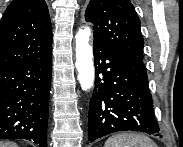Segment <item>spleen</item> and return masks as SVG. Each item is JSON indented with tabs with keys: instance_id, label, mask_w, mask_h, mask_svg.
<instances>
[{
	"instance_id": "obj_1",
	"label": "spleen",
	"mask_w": 183,
	"mask_h": 147,
	"mask_svg": "<svg viewBox=\"0 0 183 147\" xmlns=\"http://www.w3.org/2000/svg\"><path fill=\"white\" fill-rule=\"evenodd\" d=\"M104 147H158L149 137L134 134L120 133L108 138Z\"/></svg>"
}]
</instances>
